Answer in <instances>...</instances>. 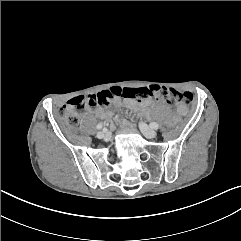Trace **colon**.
I'll return each instance as SVG.
<instances>
[{
	"label": "colon",
	"instance_id": "colon-1",
	"mask_svg": "<svg viewBox=\"0 0 241 241\" xmlns=\"http://www.w3.org/2000/svg\"><path fill=\"white\" fill-rule=\"evenodd\" d=\"M118 97L130 99L155 98L169 103H179L183 107L190 105L193 100L192 95L188 92H178L174 89L158 85L138 88L115 87L96 95L76 96L60 109L59 115L66 125L75 127L79 122V114L83 109L92 108L97 105H106L112 99ZM180 124L181 121L179 119H171L166 122L168 127H175Z\"/></svg>",
	"mask_w": 241,
	"mask_h": 241
}]
</instances>
